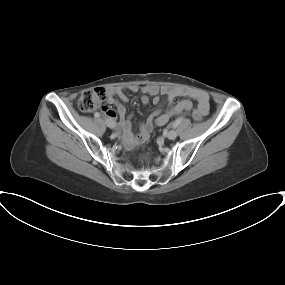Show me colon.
I'll return each instance as SVG.
<instances>
[{
  "mask_svg": "<svg viewBox=\"0 0 285 285\" xmlns=\"http://www.w3.org/2000/svg\"><path fill=\"white\" fill-rule=\"evenodd\" d=\"M105 96L102 88L86 90L78 98V108L83 112H92L101 106ZM191 116L194 120L201 121L204 114L199 109H193Z\"/></svg>",
  "mask_w": 285,
  "mask_h": 285,
  "instance_id": "obj_1",
  "label": "colon"
}]
</instances>
